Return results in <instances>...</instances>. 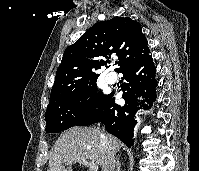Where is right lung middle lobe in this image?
I'll use <instances>...</instances> for the list:
<instances>
[{"label": "right lung middle lobe", "mask_w": 199, "mask_h": 171, "mask_svg": "<svg viewBox=\"0 0 199 171\" xmlns=\"http://www.w3.org/2000/svg\"><path fill=\"white\" fill-rule=\"evenodd\" d=\"M97 91L96 82H93L49 105L45 113L46 132L59 133L75 126L106 98L107 95Z\"/></svg>", "instance_id": "1"}]
</instances>
